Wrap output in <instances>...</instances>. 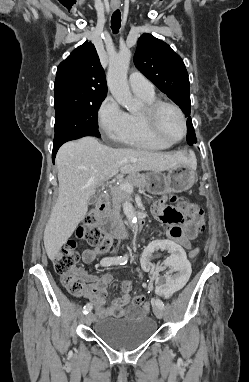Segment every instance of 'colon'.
<instances>
[{"mask_svg":"<svg viewBox=\"0 0 249 382\" xmlns=\"http://www.w3.org/2000/svg\"><path fill=\"white\" fill-rule=\"evenodd\" d=\"M186 212L195 219L201 228H204L205 216L201 209L194 204H184ZM169 216V212H166ZM79 238L84 239L90 245H98L103 242L102 231L98 224V217L95 212L88 213L83 220V226L78 233ZM76 240H69L67 244L54 256L53 266L57 274L61 276V281L66 290L73 296L79 297L85 292L84 282L76 275L75 270L79 261ZM199 248H193L189 252L191 258L198 256ZM134 305L149 309L145 301V296L140 294L134 299Z\"/></svg>","mask_w":249,"mask_h":382,"instance_id":"5ec220e1","label":"colon"}]
</instances>
